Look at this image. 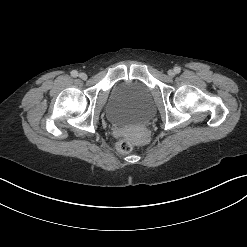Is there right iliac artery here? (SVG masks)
<instances>
[{
  "mask_svg": "<svg viewBox=\"0 0 247 247\" xmlns=\"http://www.w3.org/2000/svg\"><path fill=\"white\" fill-rule=\"evenodd\" d=\"M71 76H72V77L78 76V72H77L76 70H73V71L71 72Z\"/></svg>",
  "mask_w": 247,
  "mask_h": 247,
  "instance_id": "obj_1",
  "label": "right iliac artery"
}]
</instances>
